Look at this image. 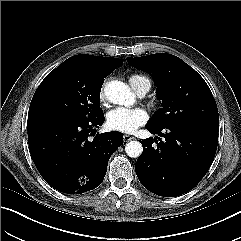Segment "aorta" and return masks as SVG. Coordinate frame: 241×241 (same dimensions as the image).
<instances>
[{
	"instance_id": "obj_1",
	"label": "aorta",
	"mask_w": 241,
	"mask_h": 241,
	"mask_svg": "<svg viewBox=\"0 0 241 241\" xmlns=\"http://www.w3.org/2000/svg\"><path fill=\"white\" fill-rule=\"evenodd\" d=\"M106 98L118 105H131L134 102V94L130 88L123 82L114 80L109 82L105 89ZM143 151V147L139 141H130L125 146L126 154L131 158H138Z\"/></svg>"
}]
</instances>
